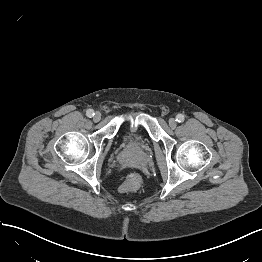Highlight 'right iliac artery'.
<instances>
[{
	"instance_id": "1",
	"label": "right iliac artery",
	"mask_w": 262,
	"mask_h": 262,
	"mask_svg": "<svg viewBox=\"0 0 262 262\" xmlns=\"http://www.w3.org/2000/svg\"><path fill=\"white\" fill-rule=\"evenodd\" d=\"M86 115L91 118V117L94 116V111H93L92 109H88V110L86 111Z\"/></svg>"
}]
</instances>
